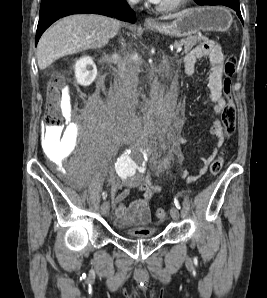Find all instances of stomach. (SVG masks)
<instances>
[{
	"label": "stomach",
	"mask_w": 267,
	"mask_h": 298,
	"mask_svg": "<svg viewBox=\"0 0 267 298\" xmlns=\"http://www.w3.org/2000/svg\"><path fill=\"white\" fill-rule=\"evenodd\" d=\"M232 21V15L227 8L204 6L186 9L173 22L150 29L173 37H185L199 31L226 32Z\"/></svg>",
	"instance_id": "obj_1"
}]
</instances>
